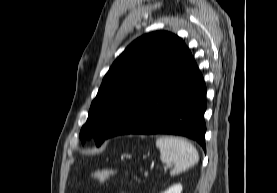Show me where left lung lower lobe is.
Here are the masks:
<instances>
[{
    "label": "left lung lower lobe",
    "mask_w": 277,
    "mask_h": 193,
    "mask_svg": "<svg viewBox=\"0 0 277 193\" xmlns=\"http://www.w3.org/2000/svg\"><path fill=\"white\" fill-rule=\"evenodd\" d=\"M206 87L191 56L172 76L141 98L107 138L124 134H173L205 146Z\"/></svg>",
    "instance_id": "0a47b994"
}]
</instances>
